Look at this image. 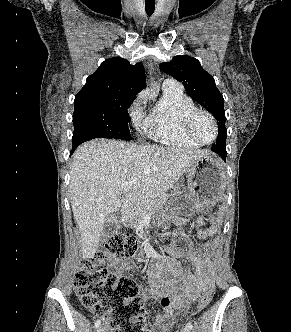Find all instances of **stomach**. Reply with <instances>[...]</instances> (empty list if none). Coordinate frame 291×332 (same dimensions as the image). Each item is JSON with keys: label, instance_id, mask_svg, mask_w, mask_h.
<instances>
[{"label": "stomach", "instance_id": "obj_1", "mask_svg": "<svg viewBox=\"0 0 291 332\" xmlns=\"http://www.w3.org/2000/svg\"><path fill=\"white\" fill-rule=\"evenodd\" d=\"M187 189L175 188L167 208L193 214L206 205L215 203L222 194L224 173L220 163L211 155L195 160L187 170ZM165 211L158 215L163 219Z\"/></svg>", "mask_w": 291, "mask_h": 332}]
</instances>
